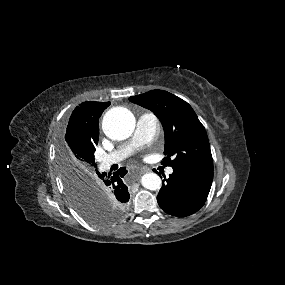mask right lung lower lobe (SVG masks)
<instances>
[{"instance_id":"98d812e1","label":"right lung lower lobe","mask_w":285,"mask_h":285,"mask_svg":"<svg viewBox=\"0 0 285 285\" xmlns=\"http://www.w3.org/2000/svg\"><path fill=\"white\" fill-rule=\"evenodd\" d=\"M126 173L127 170L125 168H121V170L108 176L105 173H99V171L96 170V177L92 179L95 187L99 191H103L124 208L130 198L128 188L122 181V178Z\"/></svg>"}]
</instances>
